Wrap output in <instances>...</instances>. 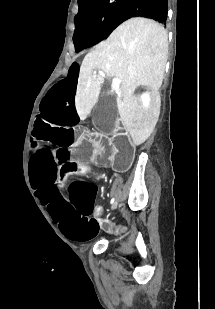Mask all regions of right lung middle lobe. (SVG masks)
<instances>
[{"label": "right lung middle lobe", "instance_id": "obj_1", "mask_svg": "<svg viewBox=\"0 0 215 309\" xmlns=\"http://www.w3.org/2000/svg\"><path fill=\"white\" fill-rule=\"evenodd\" d=\"M132 0H78L73 42L76 52L104 40Z\"/></svg>", "mask_w": 215, "mask_h": 309}]
</instances>
